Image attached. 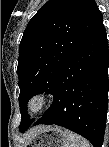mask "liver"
Masks as SVG:
<instances>
[{"label":"liver","mask_w":109,"mask_h":147,"mask_svg":"<svg viewBox=\"0 0 109 147\" xmlns=\"http://www.w3.org/2000/svg\"><path fill=\"white\" fill-rule=\"evenodd\" d=\"M46 127L48 126H44V125H40V126H36L32 129H30L27 133H26V138H30L32 136H34L35 134H37L38 132L44 130Z\"/></svg>","instance_id":"obj_1"}]
</instances>
